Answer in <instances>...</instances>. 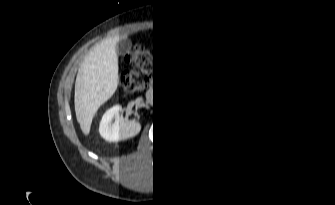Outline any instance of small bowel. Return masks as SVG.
Listing matches in <instances>:
<instances>
[{
	"label": "small bowel",
	"mask_w": 335,
	"mask_h": 205,
	"mask_svg": "<svg viewBox=\"0 0 335 205\" xmlns=\"http://www.w3.org/2000/svg\"><path fill=\"white\" fill-rule=\"evenodd\" d=\"M231 53H232V49L229 48L226 56H223V55L214 56V57L211 59V62L214 63V64H220V63H222V62L225 60V58L228 57Z\"/></svg>",
	"instance_id": "obj_1"
}]
</instances>
